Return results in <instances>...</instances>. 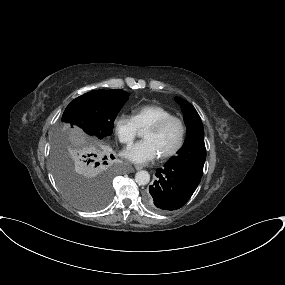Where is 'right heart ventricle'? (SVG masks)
Here are the masks:
<instances>
[{
	"label": "right heart ventricle",
	"mask_w": 285,
	"mask_h": 285,
	"mask_svg": "<svg viewBox=\"0 0 285 285\" xmlns=\"http://www.w3.org/2000/svg\"><path fill=\"white\" fill-rule=\"evenodd\" d=\"M169 116H172V113L157 104L143 105L133 111V118L139 130H145L155 122Z\"/></svg>",
	"instance_id": "e07e8e85"
}]
</instances>
